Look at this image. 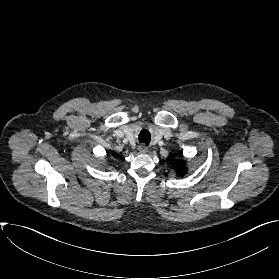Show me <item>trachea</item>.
Returning a JSON list of instances; mask_svg holds the SVG:
<instances>
[{"label": "trachea", "instance_id": "3493384b", "mask_svg": "<svg viewBox=\"0 0 279 279\" xmlns=\"http://www.w3.org/2000/svg\"><path fill=\"white\" fill-rule=\"evenodd\" d=\"M151 141V135L148 130L144 129L139 134V142L149 144Z\"/></svg>", "mask_w": 279, "mask_h": 279}]
</instances>
